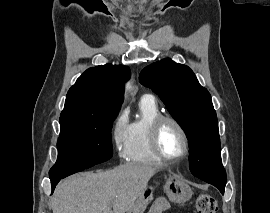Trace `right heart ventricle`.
Masks as SVG:
<instances>
[{
    "instance_id": "e07e8e85",
    "label": "right heart ventricle",
    "mask_w": 270,
    "mask_h": 213,
    "mask_svg": "<svg viewBox=\"0 0 270 213\" xmlns=\"http://www.w3.org/2000/svg\"><path fill=\"white\" fill-rule=\"evenodd\" d=\"M140 116L128 123L125 159L130 163L147 164L161 160L151 151L149 129L153 120L161 115L154 98L142 97L139 102Z\"/></svg>"
}]
</instances>
